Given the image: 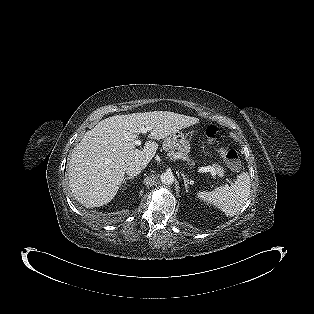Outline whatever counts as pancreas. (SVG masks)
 I'll list each match as a JSON object with an SVG mask.
<instances>
[{"label":"pancreas","mask_w":314,"mask_h":314,"mask_svg":"<svg viewBox=\"0 0 314 314\" xmlns=\"http://www.w3.org/2000/svg\"><path fill=\"white\" fill-rule=\"evenodd\" d=\"M168 145H169V143L164 141L163 147L168 152V156H172V157L173 156H178V158H182L183 159V156L180 153H178V152H176L175 150H172V149H167ZM184 160L190 161L189 158H184ZM212 167L214 169L215 174H217L219 176H223L224 175L225 171H224V168L222 166H220L219 164H213Z\"/></svg>","instance_id":"pancreas-1"}]
</instances>
